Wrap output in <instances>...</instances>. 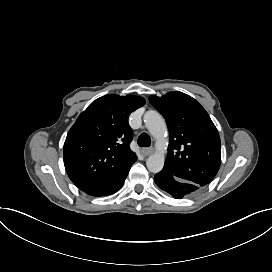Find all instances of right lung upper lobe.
Returning a JSON list of instances; mask_svg holds the SVG:
<instances>
[{
  "label": "right lung upper lobe",
  "mask_w": 272,
  "mask_h": 272,
  "mask_svg": "<svg viewBox=\"0 0 272 272\" xmlns=\"http://www.w3.org/2000/svg\"><path fill=\"white\" fill-rule=\"evenodd\" d=\"M144 104L139 96L109 94L80 114L64 143L65 168L79 189L110 181L136 161L128 117Z\"/></svg>",
  "instance_id": "obj_1"
}]
</instances>
